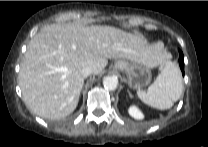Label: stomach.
Wrapping results in <instances>:
<instances>
[{
  "instance_id": "stomach-1",
  "label": "stomach",
  "mask_w": 208,
  "mask_h": 147,
  "mask_svg": "<svg viewBox=\"0 0 208 147\" xmlns=\"http://www.w3.org/2000/svg\"><path fill=\"white\" fill-rule=\"evenodd\" d=\"M114 69L126 74L128 84L133 89H141L151 80L150 68L137 61L119 59L115 62Z\"/></svg>"
}]
</instances>
